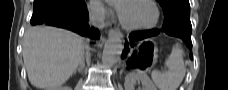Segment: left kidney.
<instances>
[{
    "instance_id": "5707ae66",
    "label": "left kidney",
    "mask_w": 228,
    "mask_h": 90,
    "mask_svg": "<svg viewBox=\"0 0 228 90\" xmlns=\"http://www.w3.org/2000/svg\"><path fill=\"white\" fill-rule=\"evenodd\" d=\"M137 81H140L144 85L145 90H157L147 75L135 72H132L125 77V90H135L134 86Z\"/></svg>"
}]
</instances>
